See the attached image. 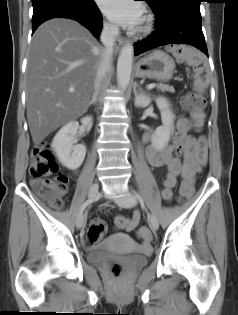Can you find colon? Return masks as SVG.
<instances>
[{"label":"colon","mask_w":238,"mask_h":315,"mask_svg":"<svg viewBox=\"0 0 238 315\" xmlns=\"http://www.w3.org/2000/svg\"><path fill=\"white\" fill-rule=\"evenodd\" d=\"M170 52L180 62H186L191 65L195 72L196 91L188 94L184 102L192 109V118L195 126L200 128L203 124V108L205 99L202 91L206 87L208 76V67L205 59L198 52L185 46H171ZM29 173L31 185L42 197L48 199L53 206L60 208L63 205L62 195L68 186V179L61 174L58 165L53 157V153L47 142L43 141L37 144L31 155ZM194 191L192 182L183 183L180 188L181 199L189 198ZM128 224V218L118 216L115 219V225L118 228H125ZM106 230L105 223L100 219H94L87 231V238L90 243H94L102 238ZM140 238L150 239V231L147 227H141L138 231ZM115 275L120 273L118 265L112 267Z\"/></svg>","instance_id":"1"}]
</instances>
